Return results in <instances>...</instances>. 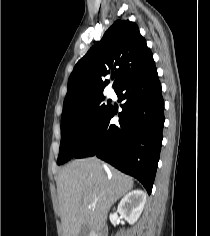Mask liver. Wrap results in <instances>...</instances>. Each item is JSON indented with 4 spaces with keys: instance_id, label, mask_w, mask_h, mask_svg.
<instances>
[{
    "instance_id": "1",
    "label": "liver",
    "mask_w": 210,
    "mask_h": 236,
    "mask_svg": "<svg viewBox=\"0 0 210 236\" xmlns=\"http://www.w3.org/2000/svg\"><path fill=\"white\" fill-rule=\"evenodd\" d=\"M133 180L96 157L74 160L57 178L59 212L64 236H78L85 225L99 231L110 207L131 191ZM95 203V208L90 207Z\"/></svg>"
}]
</instances>
